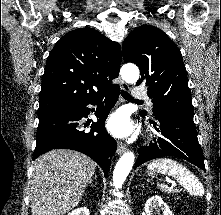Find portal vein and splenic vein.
I'll return each instance as SVG.
<instances>
[{
	"mask_svg": "<svg viewBox=\"0 0 221 215\" xmlns=\"http://www.w3.org/2000/svg\"><path fill=\"white\" fill-rule=\"evenodd\" d=\"M168 182L172 183V187L175 186V183H174V182H172V181H170V180H168Z\"/></svg>",
	"mask_w": 221,
	"mask_h": 215,
	"instance_id": "obj_1",
	"label": "portal vein and splenic vein"
}]
</instances>
